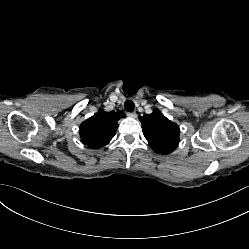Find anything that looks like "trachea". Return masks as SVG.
Here are the masks:
<instances>
[{"label": "trachea", "mask_w": 249, "mask_h": 249, "mask_svg": "<svg viewBox=\"0 0 249 249\" xmlns=\"http://www.w3.org/2000/svg\"><path fill=\"white\" fill-rule=\"evenodd\" d=\"M124 108L128 112H133L134 111V103L131 100H127L124 103Z\"/></svg>", "instance_id": "1"}]
</instances>
